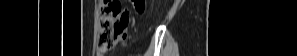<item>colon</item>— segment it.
I'll list each match as a JSON object with an SVG mask.
<instances>
[{"label": "colon", "instance_id": "colon-1", "mask_svg": "<svg viewBox=\"0 0 297 56\" xmlns=\"http://www.w3.org/2000/svg\"><path fill=\"white\" fill-rule=\"evenodd\" d=\"M132 4L138 13H142L145 9V0H132ZM129 20V11L118 1H104L99 22L100 53L107 54L115 48L120 41L121 33L126 32Z\"/></svg>", "mask_w": 297, "mask_h": 56}]
</instances>
